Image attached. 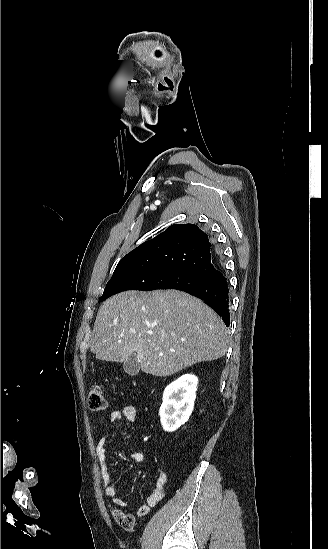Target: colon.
Instances as JSON below:
<instances>
[{
	"instance_id": "colon-1",
	"label": "colon",
	"mask_w": 328,
	"mask_h": 549,
	"mask_svg": "<svg viewBox=\"0 0 328 549\" xmlns=\"http://www.w3.org/2000/svg\"><path fill=\"white\" fill-rule=\"evenodd\" d=\"M88 406L93 411L104 410L107 406L106 398L100 386H94L88 395ZM112 516L118 525L126 531H133L136 527V521L132 514L125 513L122 510L112 507Z\"/></svg>"
}]
</instances>
